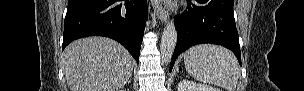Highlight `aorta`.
Listing matches in <instances>:
<instances>
[{"mask_svg":"<svg viewBox=\"0 0 304 91\" xmlns=\"http://www.w3.org/2000/svg\"><path fill=\"white\" fill-rule=\"evenodd\" d=\"M177 43V31L174 22L168 21L161 38L160 54L162 61L168 64L171 61Z\"/></svg>","mask_w":304,"mask_h":91,"instance_id":"obj_1","label":"aorta"}]
</instances>
